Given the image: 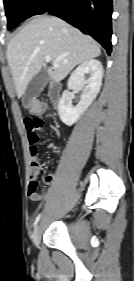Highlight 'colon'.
<instances>
[{
  "instance_id": "5ec220e1",
  "label": "colon",
  "mask_w": 134,
  "mask_h": 281,
  "mask_svg": "<svg viewBox=\"0 0 134 281\" xmlns=\"http://www.w3.org/2000/svg\"><path fill=\"white\" fill-rule=\"evenodd\" d=\"M30 110L33 113L41 114L46 110V105L43 102L35 101L30 105ZM29 195L33 200H41L43 192L39 189L37 181H31L29 184Z\"/></svg>"
}]
</instances>
